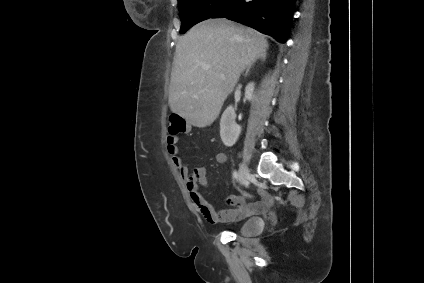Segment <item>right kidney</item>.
<instances>
[{"label": "right kidney", "mask_w": 424, "mask_h": 283, "mask_svg": "<svg viewBox=\"0 0 424 283\" xmlns=\"http://www.w3.org/2000/svg\"><path fill=\"white\" fill-rule=\"evenodd\" d=\"M254 86L255 84L250 82L245 88V97L249 101L254 99ZM235 119V108L230 105L225 109L220 120L221 140L228 147L233 146L237 142L242 131V127L235 122Z\"/></svg>", "instance_id": "obj_1"}]
</instances>
